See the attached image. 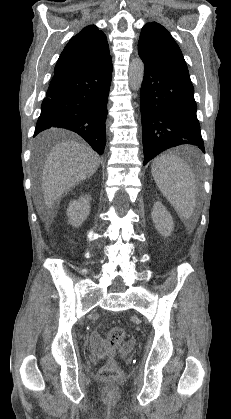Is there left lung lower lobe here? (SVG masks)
Returning a JSON list of instances; mask_svg holds the SVG:
<instances>
[{
	"instance_id": "obj_1",
	"label": "left lung lower lobe",
	"mask_w": 231,
	"mask_h": 419,
	"mask_svg": "<svg viewBox=\"0 0 231 419\" xmlns=\"http://www.w3.org/2000/svg\"><path fill=\"white\" fill-rule=\"evenodd\" d=\"M140 92L144 165L183 144L205 152L189 73L144 64Z\"/></svg>"
}]
</instances>
